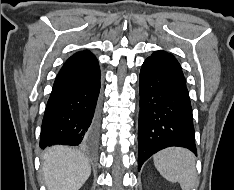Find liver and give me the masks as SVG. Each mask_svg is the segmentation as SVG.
Returning <instances> with one entry per match:
<instances>
[{"instance_id":"obj_1","label":"liver","mask_w":234,"mask_h":190,"mask_svg":"<svg viewBox=\"0 0 234 190\" xmlns=\"http://www.w3.org/2000/svg\"><path fill=\"white\" fill-rule=\"evenodd\" d=\"M42 171L48 190H79L89 178L91 166L80 152L54 146L42 157Z\"/></svg>"}]
</instances>
